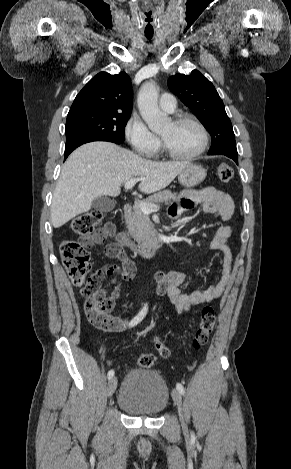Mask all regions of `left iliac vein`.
<instances>
[{
	"instance_id": "4c4485c4",
	"label": "left iliac vein",
	"mask_w": 291,
	"mask_h": 469,
	"mask_svg": "<svg viewBox=\"0 0 291 469\" xmlns=\"http://www.w3.org/2000/svg\"><path fill=\"white\" fill-rule=\"evenodd\" d=\"M172 398H173V400H174V402L177 406L181 424H182L183 427H185L186 426V416H185V413H184L182 397H181L178 390L173 389Z\"/></svg>"
}]
</instances>
